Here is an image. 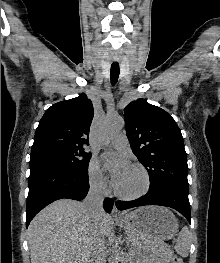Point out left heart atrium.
Wrapping results in <instances>:
<instances>
[{"label":"left heart atrium","mask_w":220,"mask_h":263,"mask_svg":"<svg viewBox=\"0 0 220 263\" xmlns=\"http://www.w3.org/2000/svg\"><path fill=\"white\" fill-rule=\"evenodd\" d=\"M105 160L114 183H117L130 167L127 159L123 156L116 157L112 166L109 165V157H105Z\"/></svg>","instance_id":"left-heart-atrium-1"}]
</instances>
